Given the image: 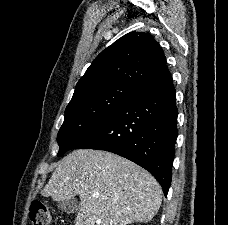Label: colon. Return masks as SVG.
<instances>
[{
    "mask_svg": "<svg viewBox=\"0 0 228 225\" xmlns=\"http://www.w3.org/2000/svg\"><path fill=\"white\" fill-rule=\"evenodd\" d=\"M30 220L32 225H52V213L42 201L35 200L30 206Z\"/></svg>",
    "mask_w": 228,
    "mask_h": 225,
    "instance_id": "obj_1",
    "label": "colon"
}]
</instances>
